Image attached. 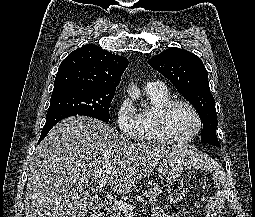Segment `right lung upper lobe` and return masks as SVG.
I'll return each instance as SVG.
<instances>
[{"instance_id": "obj_1", "label": "right lung upper lobe", "mask_w": 255, "mask_h": 217, "mask_svg": "<svg viewBox=\"0 0 255 217\" xmlns=\"http://www.w3.org/2000/svg\"><path fill=\"white\" fill-rule=\"evenodd\" d=\"M127 65L125 57L87 44L71 52L61 62L54 88L77 85L115 91Z\"/></svg>"}]
</instances>
